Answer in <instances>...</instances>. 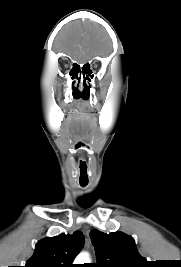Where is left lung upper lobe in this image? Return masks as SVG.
I'll return each mask as SVG.
<instances>
[{
  "mask_svg": "<svg viewBox=\"0 0 181 267\" xmlns=\"http://www.w3.org/2000/svg\"><path fill=\"white\" fill-rule=\"evenodd\" d=\"M97 263L93 267H148L149 262L139 255L133 238L122 232L105 234L96 229L90 232Z\"/></svg>",
  "mask_w": 181,
  "mask_h": 267,
  "instance_id": "obj_1",
  "label": "left lung upper lobe"
}]
</instances>
